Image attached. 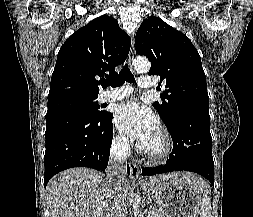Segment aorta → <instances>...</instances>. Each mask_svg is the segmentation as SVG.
<instances>
[{"mask_svg": "<svg viewBox=\"0 0 253 217\" xmlns=\"http://www.w3.org/2000/svg\"><path fill=\"white\" fill-rule=\"evenodd\" d=\"M133 65L134 69L140 73L148 72L151 66L150 62L145 58L135 59Z\"/></svg>", "mask_w": 253, "mask_h": 217, "instance_id": "762f6f07", "label": "aorta"}]
</instances>
